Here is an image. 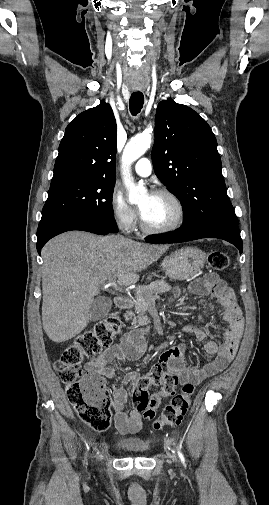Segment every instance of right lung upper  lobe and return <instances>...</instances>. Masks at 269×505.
I'll list each match as a JSON object with an SVG mask.
<instances>
[{"label":"right lung upper lobe","mask_w":269,"mask_h":505,"mask_svg":"<svg viewBox=\"0 0 269 505\" xmlns=\"http://www.w3.org/2000/svg\"><path fill=\"white\" fill-rule=\"evenodd\" d=\"M117 125L102 102L80 113L65 130L50 188L82 181H115Z\"/></svg>","instance_id":"right-lung-upper-lobe-1"}]
</instances>
